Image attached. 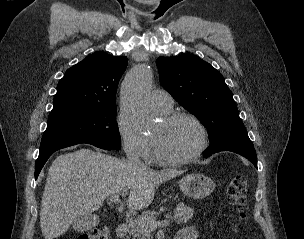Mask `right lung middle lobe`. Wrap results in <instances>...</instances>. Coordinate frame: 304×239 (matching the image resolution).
<instances>
[{
	"mask_svg": "<svg viewBox=\"0 0 304 239\" xmlns=\"http://www.w3.org/2000/svg\"><path fill=\"white\" fill-rule=\"evenodd\" d=\"M116 105L81 107L50 113L42 142L57 140H91L121 147L116 122Z\"/></svg>",
	"mask_w": 304,
	"mask_h": 239,
	"instance_id": "1",
	"label": "right lung middle lobe"
}]
</instances>
